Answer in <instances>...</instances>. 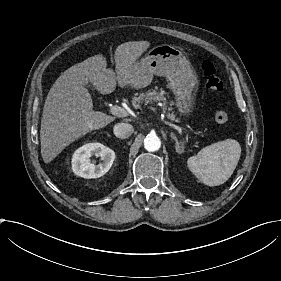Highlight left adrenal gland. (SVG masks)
Masks as SVG:
<instances>
[{
  "label": "left adrenal gland",
  "instance_id": "1",
  "mask_svg": "<svg viewBox=\"0 0 281 281\" xmlns=\"http://www.w3.org/2000/svg\"><path fill=\"white\" fill-rule=\"evenodd\" d=\"M171 138L174 139V141H175V150H176V152L180 153V148L181 147H180V143H179L176 135L174 133H171Z\"/></svg>",
  "mask_w": 281,
  "mask_h": 281
}]
</instances>
